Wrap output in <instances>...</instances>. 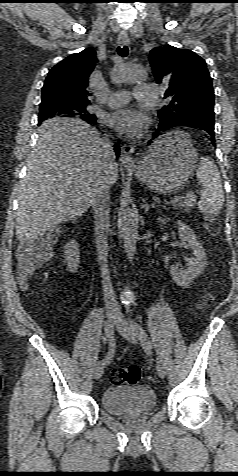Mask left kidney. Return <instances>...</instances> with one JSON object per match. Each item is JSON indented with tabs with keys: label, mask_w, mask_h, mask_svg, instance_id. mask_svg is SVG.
<instances>
[{
	"label": "left kidney",
	"mask_w": 238,
	"mask_h": 476,
	"mask_svg": "<svg viewBox=\"0 0 238 476\" xmlns=\"http://www.w3.org/2000/svg\"><path fill=\"white\" fill-rule=\"evenodd\" d=\"M165 219L157 218V222L165 223ZM179 239L186 242L193 250V256L188 261V268L184 273L174 266L170 267V274L177 285L188 287L205 269L207 265L206 253L201 243L197 240L193 230L181 221H177Z\"/></svg>",
	"instance_id": "obj_1"
}]
</instances>
